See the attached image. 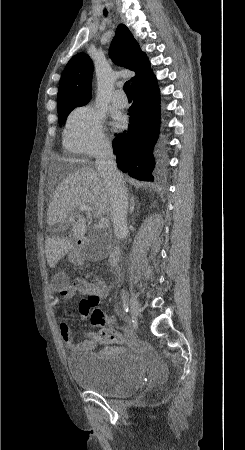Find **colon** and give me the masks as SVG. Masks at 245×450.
Here are the masks:
<instances>
[{"label":"colon","instance_id":"5ec220e1","mask_svg":"<svg viewBox=\"0 0 245 450\" xmlns=\"http://www.w3.org/2000/svg\"><path fill=\"white\" fill-rule=\"evenodd\" d=\"M72 285L77 291L90 295L86 300L87 303L84 308L90 315L92 325L100 328V330L94 334L96 339L104 344L122 343L124 340L122 335L113 329V326L116 323L115 318L107 315L97 307L98 299L93 297L94 285L90 280L89 275L81 274L76 276L72 280ZM125 329L130 332L129 327H125Z\"/></svg>","mask_w":245,"mask_h":450}]
</instances>
